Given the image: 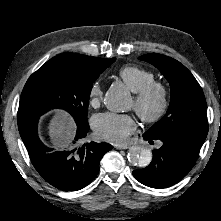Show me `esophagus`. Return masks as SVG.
I'll list each match as a JSON object with an SVG mask.
<instances>
[{
  "instance_id": "1",
  "label": "esophagus",
  "mask_w": 221,
  "mask_h": 221,
  "mask_svg": "<svg viewBox=\"0 0 221 221\" xmlns=\"http://www.w3.org/2000/svg\"><path fill=\"white\" fill-rule=\"evenodd\" d=\"M115 148L119 150H124V149H128L129 145H116Z\"/></svg>"
}]
</instances>
